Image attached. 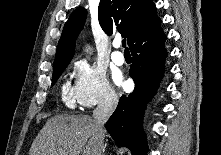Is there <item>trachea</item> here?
<instances>
[{
    "label": "trachea",
    "mask_w": 221,
    "mask_h": 155,
    "mask_svg": "<svg viewBox=\"0 0 221 155\" xmlns=\"http://www.w3.org/2000/svg\"><path fill=\"white\" fill-rule=\"evenodd\" d=\"M122 46L125 48V52H129L128 47H126V39L122 40Z\"/></svg>",
    "instance_id": "trachea-1"
}]
</instances>
